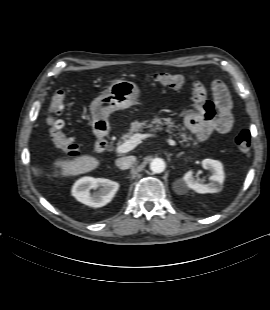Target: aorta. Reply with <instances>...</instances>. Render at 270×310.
I'll return each instance as SVG.
<instances>
[{"label":"aorta","mask_w":270,"mask_h":310,"mask_svg":"<svg viewBox=\"0 0 270 310\" xmlns=\"http://www.w3.org/2000/svg\"><path fill=\"white\" fill-rule=\"evenodd\" d=\"M166 164L163 159L155 158L150 163V169L153 173H162L165 170Z\"/></svg>","instance_id":"762f6f07"}]
</instances>
